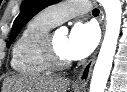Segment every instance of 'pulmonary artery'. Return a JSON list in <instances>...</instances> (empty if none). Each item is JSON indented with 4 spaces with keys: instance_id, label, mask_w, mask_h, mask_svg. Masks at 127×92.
I'll list each match as a JSON object with an SVG mask.
<instances>
[{
    "instance_id": "pulmonary-artery-1",
    "label": "pulmonary artery",
    "mask_w": 127,
    "mask_h": 92,
    "mask_svg": "<svg viewBox=\"0 0 127 92\" xmlns=\"http://www.w3.org/2000/svg\"><path fill=\"white\" fill-rule=\"evenodd\" d=\"M91 9L89 1H65L47 8L48 16L60 24L79 14L88 13Z\"/></svg>"
}]
</instances>
